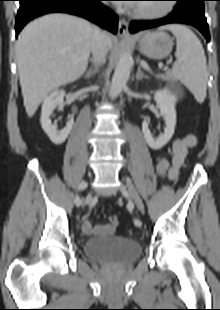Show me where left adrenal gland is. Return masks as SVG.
Instances as JSON below:
<instances>
[{
	"label": "left adrenal gland",
	"instance_id": "left-adrenal-gland-1",
	"mask_svg": "<svg viewBox=\"0 0 220 310\" xmlns=\"http://www.w3.org/2000/svg\"><path fill=\"white\" fill-rule=\"evenodd\" d=\"M143 78H148L147 76H145L142 72H141V67H138V71H137V74H136V79L137 80H141Z\"/></svg>",
	"mask_w": 220,
	"mask_h": 310
}]
</instances>
